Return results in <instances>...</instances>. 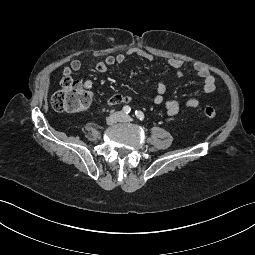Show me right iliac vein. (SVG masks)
<instances>
[{
	"instance_id": "obj_1",
	"label": "right iliac vein",
	"mask_w": 255,
	"mask_h": 255,
	"mask_svg": "<svg viewBox=\"0 0 255 255\" xmlns=\"http://www.w3.org/2000/svg\"><path fill=\"white\" fill-rule=\"evenodd\" d=\"M121 118H122V115L120 113H114L107 118L106 123L107 125L111 126L117 123L118 121H120Z\"/></svg>"
}]
</instances>
